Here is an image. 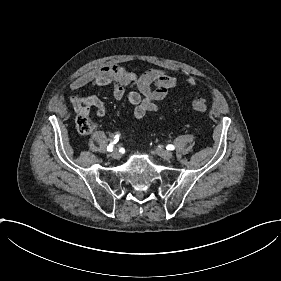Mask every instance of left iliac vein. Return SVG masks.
I'll return each instance as SVG.
<instances>
[{
    "mask_svg": "<svg viewBox=\"0 0 281 281\" xmlns=\"http://www.w3.org/2000/svg\"><path fill=\"white\" fill-rule=\"evenodd\" d=\"M156 153H159L160 154V156H163V157H165V158H170L171 157V152L170 151H168V150H161V148H156Z\"/></svg>",
    "mask_w": 281,
    "mask_h": 281,
    "instance_id": "1",
    "label": "left iliac vein"
}]
</instances>
